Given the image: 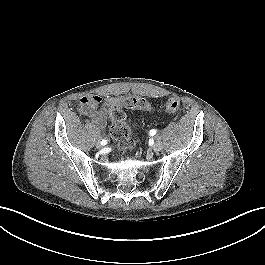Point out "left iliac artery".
I'll use <instances>...</instances> for the list:
<instances>
[{
  "label": "left iliac artery",
  "mask_w": 265,
  "mask_h": 265,
  "mask_svg": "<svg viewBox=\"0 0 265 265\" xmlns=\"http://www.w3.org/2000/svg\"><path fill=\"white\" fill-rule=\"evenodd\" d=\"M155 134H156V130H155V129H152V130L150 131V135L153 136V135H155Z\"/></svg>",
  "instance_id": "1"
}]
</instances>
